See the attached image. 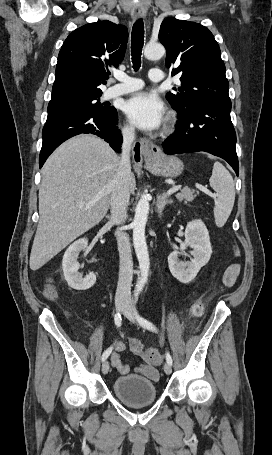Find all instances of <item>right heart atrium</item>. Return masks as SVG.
Returning <instances> with one entry per match:
<instances>
[{"instance_id":"1","label":"right heart atrium","mask_w":272,"mask_h":455,"mask_svg":"<svg viewBox=\"0 0 272 455\" xmlns=\"http://www.w3.org/2000/svg\"><path fill=\"white\" fill-rule=\"evenodd\" d=\"M122 133L127 139H131L134 136V129L130 124L124 125Z\"/></svg>"}]
</instances>
